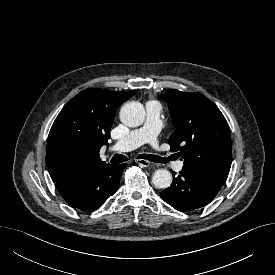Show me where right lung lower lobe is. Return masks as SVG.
<instances>
[{
    "mask_svg": "<svg viewBox=\"0 0 275 275\" xmlns=\"http://www.w3.org/2000/svg\"><path fill=\"white\" fill-rule=\"evenodd\" d=\"M126 166L106 164L84 174L58 181L55 186L71 206L83 211L98 209L116 193L121 172Z\"/></svg>",
    "mask_w": 275,
    "mask_h": 275,
    "instance_id": "98d812e1",
    "label": "right lung lower lobe"
}]
</instances>
